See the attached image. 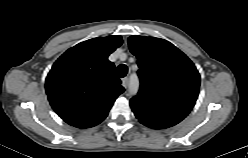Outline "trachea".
I'll use <instances>...</instances> for the list:
<instances>
[{
    "mask_svg": "<svg viewBox=\"0 0 248 158\" xmlns=\"http://www.w3.org/2000/svg\"><path fill=\"white\" fill-rule=\"evenodd\" d=\"M116 72H117L118 77L123 78L124 76H126L128 72V68L126 65L121 64L117 67Z\"/></svg>",
    "mask_w": 248,
    "mask_h": 158,
    "instance_id": "obj_1",
    "label": "trachea"
}]
</instances>
